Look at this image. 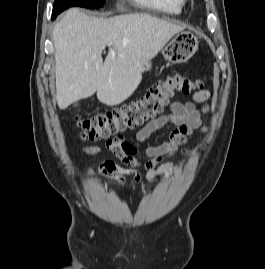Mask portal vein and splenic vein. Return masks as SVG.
Returning a JSON list of instances; mask_svg holds the SVG:
<instances>
[{"instance_id":"1","label":"portal vein and splenic vein","mask_w":265,"mask_h":269,"mask_svg":"<svg viewBox=\"0 0 265 269\" xmlns=\"http://www.w3.org/2000/svg\"><path fill=\"white\" fill-rule=\"evenodd\" d=\"M111 50V53L114 54V50L110 49Z\"/></svg>"}]
</instances>
